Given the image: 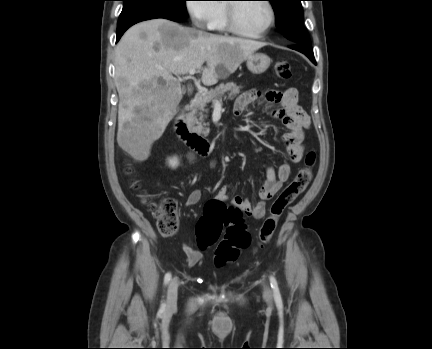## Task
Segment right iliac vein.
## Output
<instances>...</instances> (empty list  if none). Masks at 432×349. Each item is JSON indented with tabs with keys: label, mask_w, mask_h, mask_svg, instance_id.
I'll return each instance as SVG.
<instances>
[{
	"label": "right iliac vein",
	"mask_w": 432,
	"mask_h": 349,
	"mask_svg": "<svg viewBox=\"0 0 432 349\" xmlns=\"http://www.w3.org/2000/svg\"><path fill=\"white\" fill-rule=\"evenodd\" d=\"M178 283L175 279L171 280L167 289V310H173L177 304Z\"/></svg>",
	"instance_id": "obj_1"
}]
</instances>
